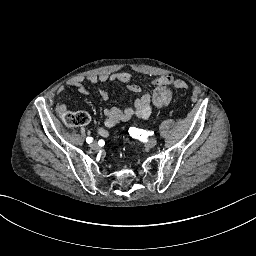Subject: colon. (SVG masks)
Wrapping results in <instances>:
<instances>
[{
    "label": "colon",
    "mask_w": 256,
    "mask_h": 256,
    "mask_svg": "<svg viewBox=\"0 0 256 256\" xmlns=\"http://www.w3.org/2000/svg\"><path fill=\"white\" fill-rule=\"evenodd\" d=\"M175 88L178 91L186 92L189 90V86L183 81H176ZM88 122V116L84 113L77 112H67L66 114V124L69 126H80L85 125Z\"/></svg>",
    "instance_id": "obj_1"
}]
</instances>
